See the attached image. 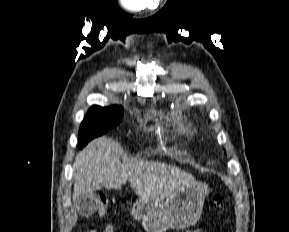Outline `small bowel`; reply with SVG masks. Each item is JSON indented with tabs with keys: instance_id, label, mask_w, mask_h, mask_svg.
Returning <instances> with one entry per match:
<instances>
[{
	"instance_id": "small-bowel-1",
	"label": "small bowel",
	"mask_w": 289,
	"mask_h": 232,
	"mask_svg": "<svg viewBox=\"0 0 289 232\" xmlns=\"http://www.w3.org/2000/svg\"><path fill=\"white\" fill-rule=\"evenodd\" d=\"M88 232H97L96 230H89Z\"/></svg>"
}]
</instances>
